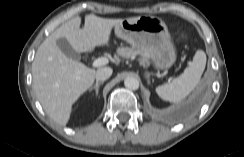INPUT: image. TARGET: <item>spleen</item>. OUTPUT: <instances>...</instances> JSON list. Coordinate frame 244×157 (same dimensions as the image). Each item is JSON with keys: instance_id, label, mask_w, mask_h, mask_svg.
<instances>
[{"instance_id": "3e777b00", "label": "spleen", "mask_w": 244, "mask_h": 157, "mask_svg": "<svg viewBox=\"0 0 244 157\" xmlns=\"http://www.w3.org/2000/svg\"><path fill=\"white\" fill-rule=\"evenodd\" d=\"M206 66V54L197 50L192 62L184 72L169 84L156 88L158 96L169 102L177 103L186 98L197 86Z\"/></svg>"}]
</instances>
